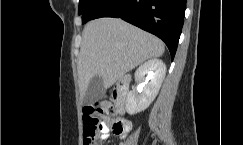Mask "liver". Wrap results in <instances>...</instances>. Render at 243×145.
Segmentation results:
<instances>
[{
  "mask_svg": "<svg viewBox=\"0 0 243 145\" xmlns=\"http://www.w3.org/2000/svg\"><path fill=\"white\" fill-rule=\"evenodd\" d=\"M82 38L77 67L82 98L95 75L109 88L125 73L148 59L162 56L165 50L163 42L154 35L116 18L90 21Z\"/></svg>",
  "mask_w": 243,
  "mask_h": 145,
  "instance_id": "liver-1",
  "label": "liver"
}]
</instances>
